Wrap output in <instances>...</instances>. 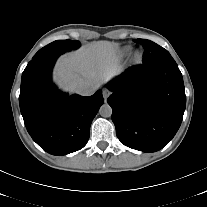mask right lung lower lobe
Returning a JSON list of instances; mask_svg holds the SVG:
<instances>
[{"label": "right lung lower lobe", "instance_id": "1", "mask_svg": "<svg viewBox=\"0 0 207 207\" xmlns=\"http://www.w3.org/2000/svg\"><path fill=\"white\" fill-rule=\"evenodd\" d=\"M61 54L32 59L22 73L19 104L28 133L46 152L66 155L82 149L104 99L102 90L89 97L58 91L51 82Z\"/></svg>", "mask_w": 207, "mask_h": 207}]
</instances>
